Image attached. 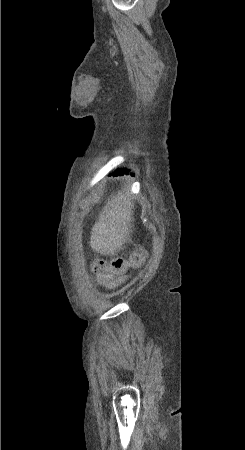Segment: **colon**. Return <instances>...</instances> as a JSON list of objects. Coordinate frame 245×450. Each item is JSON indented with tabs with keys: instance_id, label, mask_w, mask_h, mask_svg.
I'll return each instance as SVG.
<instances>
[{
	"instance_id": "obj_1",
	"label": "colon",
	"mask_w": 245,
	"mask_h": 450,
	"mask_svg": "<svg viewBox=\"0 0 245 450\" xmlns=\"http://www.w3.org/2000/svg\"><path fill=\"white\" fill-rule=\"evenodd\" d=\"M145 254L140 251H134L129 258H115L110 264H107L103 259H96L92 263L93 270L97 273H102L108 269L115 273L122 274L129 268L138 267L143 261Z\"/></svg>"
}]
</instances>
